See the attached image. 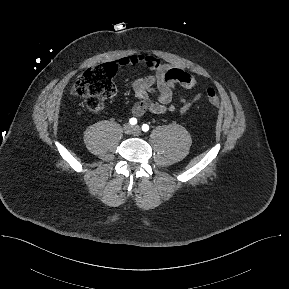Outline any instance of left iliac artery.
<instances>
[{
	"mask_svg": "<svg viewBox=\"0 0 289 289\" xmlns=\"http://www.w3.org/2000/svg\"><path fill=\"white\" fill-rule=\"evenodd\" d=\"M142 130H143L144 132H147V131L149 130V126H148L147 124H143V125H142Z\"/></svg>",
	"mask_w": 289,
	"mask_h": 289,
	"instance_id": "1",
	"label": "left iliac artery"
}]
</instances>
